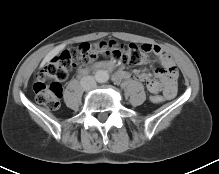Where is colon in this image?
<instances>
[{
    "label": "colon",
    "instance_id": "1",
    "mask_svg": "<svg viewBox=\"0 0 219 174\" xmlns=\"http://www.w3.org/2000/svg\"><path fill=\"white\" fill-rule=\"evenodd\" d=\"M100 56L129 66L143 65L149 59L148 52L135 44H118L115 41L82 43L78 48L65 50L55 56L39 71L33 83L35 100L51 110L57 109L62 97L60 82L65 80L79 63L88 64ZM150 98L156 104L165 101L161 94H151Z\"/></svg>",
    "mask_w": 219,
    "mask_h": 174
}]
</instances>
